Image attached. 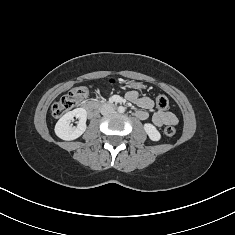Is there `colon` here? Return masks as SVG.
<instances>
[{
	"mask_svg": "<svg viewBox=\"0 0 235 235\" xmlns=\"http://www.w3.org/2000/svg\"><path fill=\"white\" fill-rule=\"evenodd\" d=\"M88 87L85 85L77 86L69 91L67 95L62 97L59 101L53 104L51 111L54 117H60L65 113L73 110L78 103L85 100L88 97ZM156 107L159 111H166L169 108V100L164 95H158L156 97ZM176 133V129L173 126H167L164 129V134L167 137H172Z\"/></svg>",
	"mask_w": 235,
	"mask_h": 235,
	"instance_id": "obj_1",
	"label": "colon"
}]
</instances>
